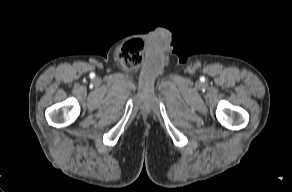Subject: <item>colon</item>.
<instances>
[{
	"instance_id": "5ec220e1",
	"label": "colon",
	"mask_w": 292,
	"mask_h": 192,
	"mask_svg": "<svg viewBox=\"0 0 292 192\" xmlns=\"http://www.w3.org/2000/svg\"><path fill=\"white\" fill-rule=\"evenodd\" d=\"M131 45H133V44H131ZM139 61H140V59H137V61L135 62V64H138V63H139Z\"/></svg>"
}]
</instances>
